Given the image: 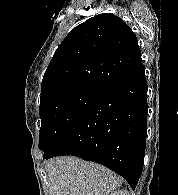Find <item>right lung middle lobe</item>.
Returning <instances> with one entry per match:
<instances>
[{"mask_svg": "<svg viewBox=\"0 0 178 195\" xmlns=\"http://www.w3.org/2000/svg\"><path fill=\"white\" fill-rule=\"evenodd\" d=\"M99 91L80 89L52 96L40 103L41 128L38 147L50 153L77 125Z\"/></svg>", "mask_w": 178, "mask_h": 195, "instance_id": "right-lung-middle-lobe-1", "label": "right lung middle lobe"}]
</instances>
